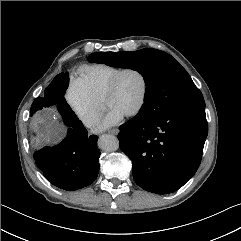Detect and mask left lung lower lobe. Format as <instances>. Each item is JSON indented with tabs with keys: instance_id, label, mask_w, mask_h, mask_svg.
I'll return each mask as SVG.
<instances>
[{
	"instance_id": "left-lung-lower-lobe-1",
	"label": "left lung lower lobe",
	"mask_w": 241,
	"mask_h": 241,
	"mask_svg": "<svg viewBox=\"0 0 241 241\" xmlns=\"http://www.w3.org/2000/svg\"><path fill=\"white\" fill-rule=\"evenodd\" d=\"M148 107L162 108L155 97ZM160 104V106H157ZM148 110L119 127L121 150L131 159L133 178L144 190L172 193L196 173L208 133L205 107H178L159 115ZM159 113V112H157Z\"/></svg>"
}]
</instances>
